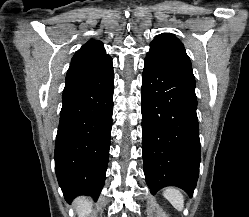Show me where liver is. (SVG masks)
<instances>
[{
    "mask_svg": "<svg viewBox=\"0 0 249 217\" xmlns=\"http://www.w3.org/2000/svg\"><path fill=\"white\" fill-rule=\"evenodd\" d=\"M75 206L79 217H87L91 212L92 202L88 198L79 197L75 200Z\"/></svg>",
    "mask_w": 249,
    "mask_h": 217,
    "instance_id": "6515ba94",
    "label": "liver"
}]
</instances>
